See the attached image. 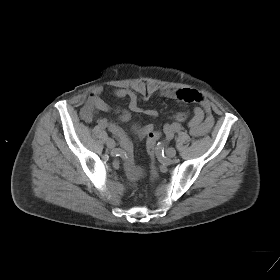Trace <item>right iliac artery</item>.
<instances>
[{
    "mask_svg": "<svg viewBox=\"0 0 280 280\" xmlns=\"http://www.w3.org/2000/svg\"><path fill=\"white\" fill-rule=\"evenodd\" d=\"M98 124L101 128H104V129L106 127H108V122L106 119L99 120ZM119 143H120L121 147L124 148L127 153L131 152V150H132L131 145L126 138L120 137Z\"/></svg>",
    "mask_w": 280,
    "mask_h": 280,
    "instance_id": "obj_1",
    "label": "right iliac artery"
}]
</instances>
